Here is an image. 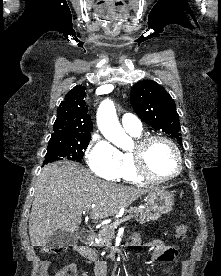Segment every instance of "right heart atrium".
I'll use <instances>...</instances> for the list:
<instances>
[{"mask_svg":"<svg viewBox=\"0 0 221 276\" xmlns=\"http://www.w3.org/2000/svg\"><path fill=\"white\" fill-rule=\"evenodd\" d=\"M91 171L101 178L116 180L121 169V152L108 140L96 135L86 152Z\"/></svg>","mask_w":221,"mask_h":276,"instance_id":"obj_1","label":"right heart atrium"}]
</instances>
